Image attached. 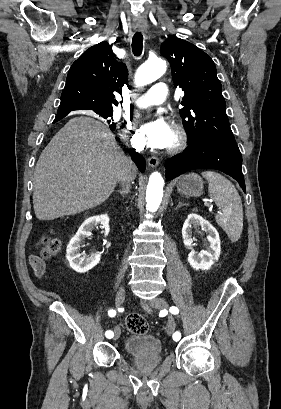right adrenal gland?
<instances>
[{
    "mask_svg": "<svg viewBox=\"0 0 281 409\" xmlns=\"http://www.w3.org/2000/svg\"><path fill=\"white\" fill-rule=\"evenodd\" d=\"M117 192H119V194H121V196H125V194H127V192H129V186H125V188H122V190H117Z\"/></svg>",
    "mask_w": 281,
    "mask_h": 409,
    "instance_id": "2a0ac1e0",
    "label": "right adrenal gland"
}]
</instances>
